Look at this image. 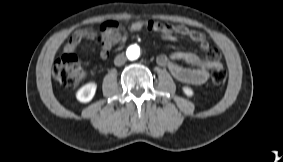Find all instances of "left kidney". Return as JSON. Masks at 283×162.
Segmentation results:
<instances>
[{"instance_id": "obj_1", "label": "left kidney", "mask_w": 283, "mask_h": 162, "mask_svg": "<svg viewBox=\"0 0 283 162\" xmlns=\"http://www.w3.org/2000/svg\"><path fill=\"white\" fill-rule=\"evenodd\" d=\"M183 92H184L188 97L193 96V91H192V89L189 88V87H184V88H183Z\"/></svg>"}]
</instances>
